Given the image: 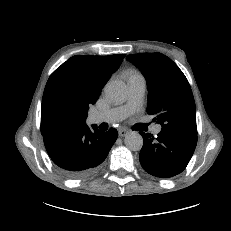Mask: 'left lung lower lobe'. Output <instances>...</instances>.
Listing matches in <instances>:
<instances>
[{
	"label": "left lung lower lobe",
	"instance_id": "left-lung-lower-lobe-1",
	"mask_svg": "<svg viewBox=\"0 0 231 231\" xmlns=\"http://www.w3.org/2000/svg\"><path fill=\"white\" fill-rule=\"evenodd\" d=\"M140 134L144 140L139 156L141 166L147 173L159 178L181 173L197 144V135L184 132L161 130L156 138L150 133Z\"/></svg>",
	"mask_w": 231,
	"mask_h": 231
}]
</instances>
